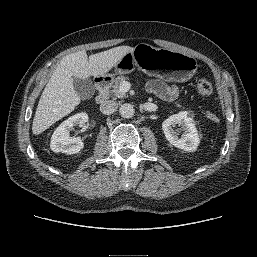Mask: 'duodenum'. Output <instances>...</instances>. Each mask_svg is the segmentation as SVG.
Instances as JSON below:
<instances>
[{
	"label": "duodenum",
	"instance_id": "obj_1",
	"mask_svg": "<svg viewBox=\"0 0 257 257\" xmlns=\"http://www.w3.org/2000/svg\"><path fill=\"white\" fill-rule=\"evenodd\" d=\"M110 84L111 79L109 78H99L96 80V87L98 90L96 97L97 103L102 104L107 100Z\"/></svg>",
	"mask_w": 257,
	"mask_h": 257
}]
</instances>
